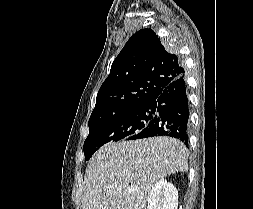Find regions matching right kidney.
<instances>
[{"label":"right kidney","instance_id":"ca27d5eb","mask_svg":"<svg viewBox=\"0 0 253 209\" xmlns=\"http://www.w3.org/2000/svg\"><path fill=\"white\" fill-rule=\"evenodd\" d=\"M178 191L176 187L160 179L151 189L148 195L147 209H177Z\"/></svg>","mask_w":253,"mask_h":209}]
</instances>
